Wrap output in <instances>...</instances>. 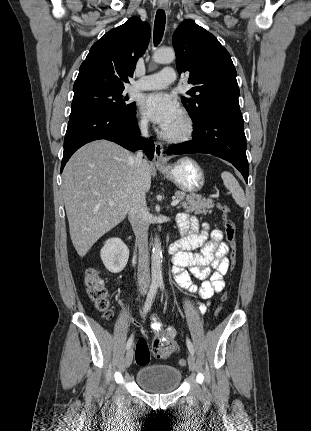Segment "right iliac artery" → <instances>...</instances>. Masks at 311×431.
Instances as JSON below:
<instances>
[{
	"label": "right iliac artery",
	"mask_w": 311,
	"mask_h": 431,
	"mask_svg": "<svg viewBox=\"0 0 311 431\" xmlns=\"http://www.w3.org/2000/svg\"><path fill=\"white\" fill-rule=\"evenodd\" d=\"M158 287H159L158 283H152L151 284L149 292H148V295H147V298H146V301H145V305H144V309H143V314H146L150 310L151 305L153 303V300H154V298L156 296ZM132 343H133V335H131L130 338L128 339V341H127V344H126V349L127 350H129L131 348Z\"/></svg>",
	"instance_id": "obj_1"
}]
</instances>
